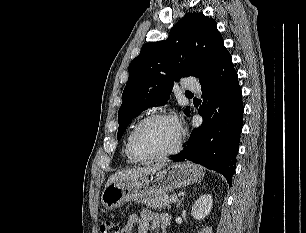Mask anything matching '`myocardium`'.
Segmentation results:
<instances>
[{"mask_svg": "<svg viewBox=\"0 0 306 233\" xmlns=\"http://www.w3.org/2000/svg\"><path fill=\"white\" fill-rule=\"evenodd\" d=\"M161 119H170V120H174V121L177 120L176 117L169 112L153 113V114L143 118L135 126V128L132 130V132L130 133L129 138H128V150H129V153H130L131 157L134 160H136V161H149V160H155V159H162V158L173 156L180 151V149L182 147V144H183V131H182L181 127L179 128V135H178L177 142L172 149H170L166 152L153 153V154H142L137 150L136 145H135V140H136V137L139 134V132L149 123H151L155 120H161Z\"/></svg>", "mask_w": 306, "mask_h": 233, "instance_id": "obj_1", "label": "myocardium"}]
</instances>
